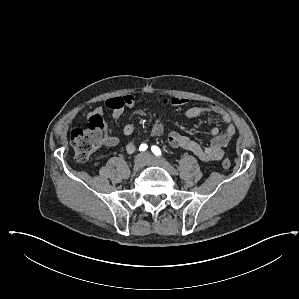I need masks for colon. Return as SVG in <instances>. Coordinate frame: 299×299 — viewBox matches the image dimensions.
Here are the masks:
<instances>
[{
  "label": "colon",
  "mask_w": 299,
  "mask_h": 299,
  "mask_svg": "<svg viewBox=\"0 0 299 299\" xmlns=\"http://www.w3.org/2000/svg\"><path fill=\"white\" fill-rule=\"evenodd\" d=\"M108 141L110 138L104 118L100 115L91 116L85 128L75 129L70 135L74 160L78 163L87 162L91 155ZM222 166L229 168L231 161L223 159Z\"/></svg>",
  "instance_id": "5ec220e1"
}]
</instances>
